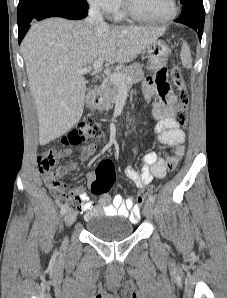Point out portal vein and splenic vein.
Here are the masks:
<instances>
[{
  "mask_svg": "<svg viewBox=\"0 0 227 298\" xmlns=\"http://www.w3.org/2000/svg\"><path fill=\"white\" fill-rule=\"evenodd\" d=\"M103 63H104L103 59H99L93 63L92 67L88 66V67L78 69L75 72V75L81 76V75L89 73L93 69L99 70V69H101V66L103 65ZM104 74L106 76H108L112 82H114L115 84L120 85V86H125V85L129 84L131 81L130 77L126 78L124 74H121L119 72H112L110 69H105Z\"/></svg>",
  "mask_w": 227,
  "mask_h": 298,
  "instance_id": "1",
  "label": "portal vein and splenic vein"
}]
</instances>
